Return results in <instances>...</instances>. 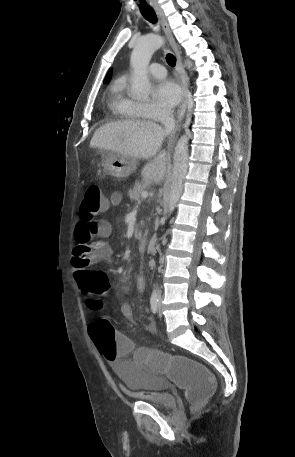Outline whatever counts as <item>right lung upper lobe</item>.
I'll return each instance as SVG.
<instances>
[{
	"instance_id": "right-lung-upper-lobe-1",
	"label": "right lung upper lobe",
	"mask_w": 295,
	"mask_h": 457,
	"mask_svg": "<svg viewBox=\"0 0 295 457\" xmlns=\"http://www.w3.org/2000/svg\"><path fill=\"white\" fill-rule=\"evenodd\" d=\"M110 78H111V69L108 71V73H107V75H106V77L104 79V82L109 81Z\"/></svg>"
}]
</instances>
